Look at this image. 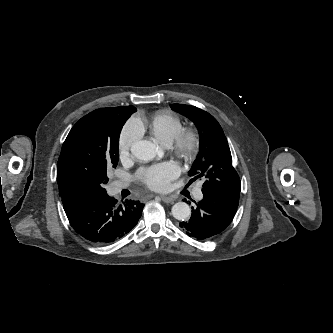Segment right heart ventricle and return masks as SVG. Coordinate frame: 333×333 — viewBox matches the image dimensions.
I'll return each mask as SVG.
<instances>
[{"label": "right heart ventricle", "mask_w": 333, "mask_h": 333, "mask_svg": "<svg viewBox=\"0 0 333 333\" xmlns=\"http://www.w3.org/2000/svg\"><path fill=\"white\" fill-rule=\"evenodd\" d=\"M159 143L169 146L173 143L178 132L183 128L182 120L175 114L162 111L154 114L141 126Z\"/></svg>", "instance_id": "obj_1"}]
</instances>
